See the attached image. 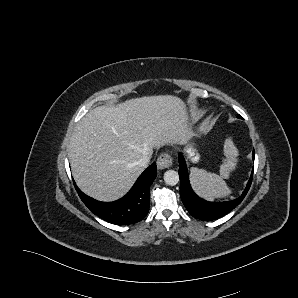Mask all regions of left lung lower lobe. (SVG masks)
Wrapping results in <instances>:
<instances>
[{"label": "left lung lower lobe", "mask_w": 298, "mask_h": 298, "mask_svg": "<svg viewBox=\"0 0 298 298\" xmlns=\"http://www.w3.org/2000/svg\"><path fill=\"white\" fill-rule=\"evenodd\" d=\"M178 157L180 167V197L184 206L193 217L203 221H211L220 218L232 211L246 196L252 182L253 170L247 186L240 197L226 202H208L201 199L193 192L189 183L187 167L182 153H180Z\"/></svg>", "instance_id": "0a47b994"}]
</instances>
